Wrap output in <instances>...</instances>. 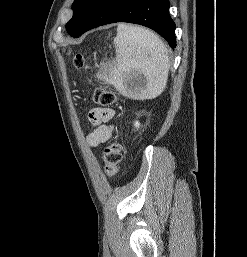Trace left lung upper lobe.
<instances>
[{
    "instance_id": "obj_1",
    "label": "left lung upper lobe",
    "mask_w": 247,
    "mask_h": 257,
    "mask_svg": "<svg viewBox=\"0 0 247 257\" xmlns=\"http://www.w3.org/2000/svg\"><path fill=\"white\" fill-rule=\"evenodd\" d=\"M97 0H74L72 4L73 17L66 24L68 33L72 36L80 29Z\"/></svg>"
}]
</instances>
